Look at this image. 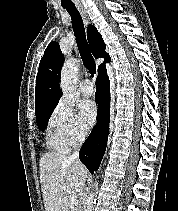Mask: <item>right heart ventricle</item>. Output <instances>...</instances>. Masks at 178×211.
<instances>
[{"label":"right heart ventricle","instance_id":"right-heart-ventricle-1","mask_svg":"<svg viewBox=\"0 0 178 211\" xmlns=\"http://www.w3.org/2000/svg\"><path fill=\"white\" fill-rule=\"evenodd\" d=\"M48 145L51 149L59 152H64L67 148L61 138L58 136L53 124L48 131Z\"/></svg>","mask_w":178,"mask_h":211}]
</instances>
